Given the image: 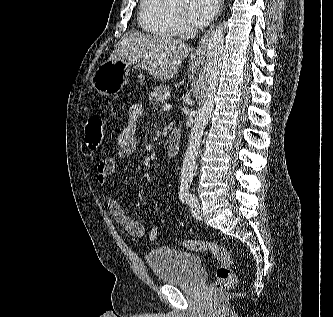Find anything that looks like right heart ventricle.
<instances>
[{
  "label": "right heart ventricle",
  "instance_id": "e07e8e85",
  "mask_svg": "<svg viewBox=\"0 0 333 317\" xmlns=\"http://www.w3.org/2000/svg\"><path fill=\"white\" fill-rule=\"evenodd\" d=\"M138 21L144 32L156 37L172 39L179 34L165 0H140Z\"/></svg>",
  "mask_w": 333,
  "mask_h": 317
}]
</instances>
